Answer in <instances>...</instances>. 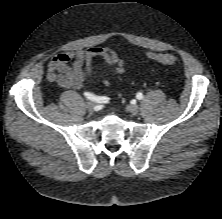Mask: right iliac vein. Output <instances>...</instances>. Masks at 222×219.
<instances>
[{
  "label": "right iliac vein",
  "instance_id": "obj_1",
  "mask_svg": "<svg viewBox=\"0 0 222 219\" xmlns=\"http://www.w3.org/2000/svg\"><path fill=\"white\" fill-rule=\"evenodd\" d=\"M87 107L90 109V110H93L96 106V103L94 101H88L86 103Z\"/></svg>",
  "mask_w": 222,
  "mask_h": 219
}]
</instances>
